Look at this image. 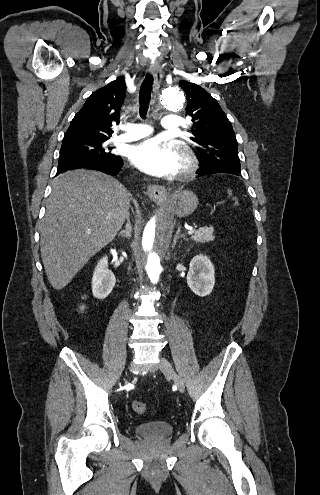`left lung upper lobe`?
<instances>
[{"instance_id":"1","label":"left lung upper lobe","mask_w":320,"mask_h":495,"mask_svg":"<svg viewBox=\"0 0 320 495\" xmlns=\"http://www.w3.org/2000/svg\"><path fill=\"white\" fill-rule=\"evenodd\" d=\"M187 98L186 115L192 117L190 138L196 156L206 167L240 171L238 145L232 125L218 102L197 84L180 81Z\"/></svg>"}]
</instances>
